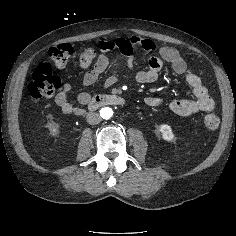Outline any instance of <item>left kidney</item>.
Segmentation results:
<instances>
[{"label":"left kidney","mask_w":236,"mask_h":236,"mask_svg":"<svg viewBox=\"0 0 236 236\" xmlns=\"http://www.w3.org/2000/svg\"><path fill=\"white\" fill-rule=\"evenodd\" d=\"M159 131L161 133L162 138L166 141H171L174 138L171 126L167 124L160 125Z\"/></svg>","instance_id":"left-kidney-1"}]
</instances>
